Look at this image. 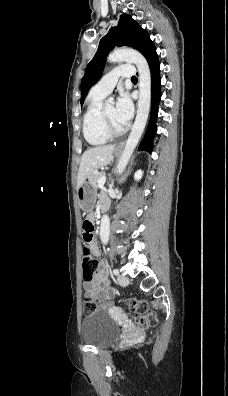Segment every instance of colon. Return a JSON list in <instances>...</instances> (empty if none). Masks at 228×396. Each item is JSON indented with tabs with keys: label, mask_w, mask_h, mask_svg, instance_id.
I'll return each instance as SVG.
<instances>
[{
	"label": "colon",
	"mask_w": 228,
	"mask_h": 396,
	"mask_svg": "<svg viewBox=\"0 0 228 396\" xmlns=\"http://www.w3.org/2000/svg\"><path fill=\"white\" fill-rule=\"evenodd\" d=\"M83 241L84 247L82 250V277L87 283L94 279L95 271L98 267V261L90 250V243L93 240L94 226L90 219H86L83 223ZM129 308L134 313L135 322L144 328H155L158 323V318L155 313L149 311L148 303L145 300H134L128 304ZM99 309V304L92 298L87 297L83 303V311L85 314H90Z\"/></svg>",
	"instance_id": "colon-1"
}]
</instances>
